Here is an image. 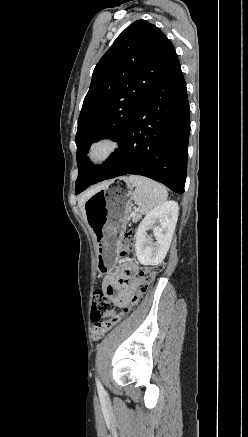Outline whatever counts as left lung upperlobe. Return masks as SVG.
Here are the masks:
<instances>
[{"label":"left lung upper lobe","mask_w":248,"mask_h":437,"mask_svg":"<svg viewBox=\"0 0 248 437\" xmlns=\"http://www.w3.org/2000/svg\"><path fill=\"white\" fill-rule=\"evenodd\" d=\"M176 61L170 40L145 20L127 27L103 55L78 119L75 194L89 187L112 157L105 165L93 167L86 157L90 145L101 138L120 144L134 113Z\"/></svg>","instance_id":"5c2ea615"}]
</instances>
